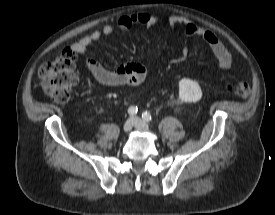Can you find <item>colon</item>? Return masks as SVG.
Listing matches in <instances>:
<instances>
[{
    "label": "colon",
    "mask_w": 275,
    "mask_h": 215,
    "mask_svg": "<svg viewBox=\"0 0 275 215\" xmlns=\"http://www.w3.org/2000/svg\"><path fill=\"white\" fill-rule=\"evenodd\" d=\"M76 59V53L66 48L59 57L42 65L39 70L44 94L59 104L68 102L77 84ZM229 91L237 97L245 98L250 94V87L246 82H236L229 86Z\"/></svg>",
    "instance_id": "5ec220e1"
}]
</instances>
